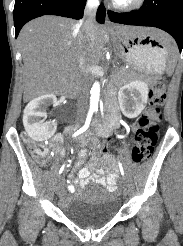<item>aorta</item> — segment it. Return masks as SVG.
<instances>
[{
    "mask_svg": "<svg viewBox=\"0 0 183 246\" xmlns=\"http://www.w3.org/2000/svg\"><path fill=\"white\" fill-rule=\"evenodd\" d=\"M91 97H90V109L98 110L99 96H100V84L95 82L91 88Z\"/></svg>",
    "mask_w": 183,
    "mask_h": 246,
    "instance_id": "1",
    "label": "aorta"
}]
</instances>
